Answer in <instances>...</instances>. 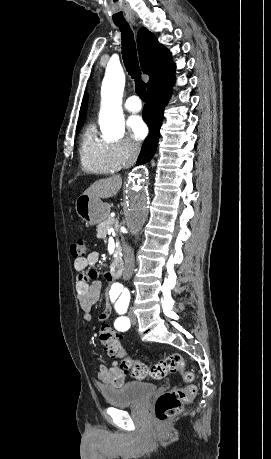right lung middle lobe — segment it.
Masks as SVG:
<instances>
[{
	"label": "right lung middle lobe",
	"instance_id": "obj_1",
	"mask_svg": "<svg viewBox=\"0 0 271 459\" xmlns=\"http://www.w3.org/2000/svg\"><path fill=\"white\" fill-rule=\"evenodd\" d=\"M83 121H84V120L78 121L77 132L80 130V128H81V126H82V124H83Z\"/></svg>",
	"mask_w": 271,
	"mask_h": 459
}]
</instances>
